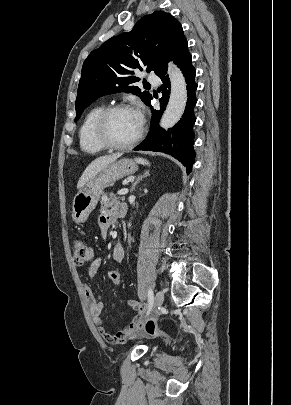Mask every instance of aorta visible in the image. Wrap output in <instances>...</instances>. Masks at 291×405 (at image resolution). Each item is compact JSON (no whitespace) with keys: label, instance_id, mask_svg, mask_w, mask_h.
Here are the masks:
<instances>
[{"label":"aorta","instance_id":"762f6f07","mask_svg":"<svg viewBox=\"0 0 291 405\" xmlns=\"http://www.w3.org/2000/svg\"><path fill=\"white\" fill-rule=\"evenodd\" d=\"M168 74L171 91L166 110L160 120L163 129L173 127L180 120L187 101V85L181 70L173 63H169Z\"/></svg>","mask_w":291,"mask_h":405}]
</instances>
